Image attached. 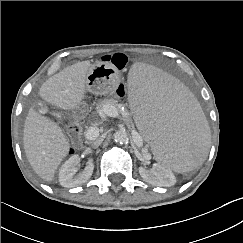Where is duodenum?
<instances>
[{
	"label": "duodenum",
	"mask_w": 243,
	"mask_h": 243,
	"mask_svg": "<svg viewBox=\"0 0 243 243\" xmlns=\"http://www.w3.org/2000/svg\"><path fill=\"white\" fill-rule=\"evenodd\" d=\"M69 133L74 136L78 137L80 135L81 127L77 121H73L68 127Z\"/></svg>",
	"instance_id": "1"
}]
</instances>
